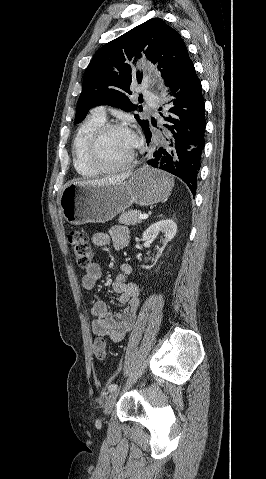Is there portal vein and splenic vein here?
<instances>
[{
	"label": "portal vein and splenic vein",
	"instance_id": "obj_1",
	"mask_svg": "<svg viewBox=\"0 0 266 479\" xmlns=\"http://www.w3.org/2000/svg\"><path fill=\"white\" fill-rule=\"evenodd\" d=\"M139 219H147L148 218V215L147 214H140L138 216Z\"/></svg>",
	"mask_w": 266,
	"mask_h": 479
}]
</instances>
